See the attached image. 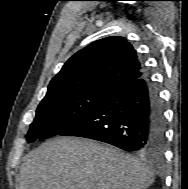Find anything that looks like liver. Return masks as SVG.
<instances>
[{"instance_id":"liver-1","label":"liver","mask_w":188,"mask_h":189,"mask_svg":"<svg viewBox=\"0 0 188 189\" xmlns=\"http://www.w3.org/2000/svg\"><path fill=\"white\" fill-rule=\"evenodd\" d=\"M153 182L149 169L117 148L58 137L26 156L18 189H146Z\"/></svg>"}]
</instances>
